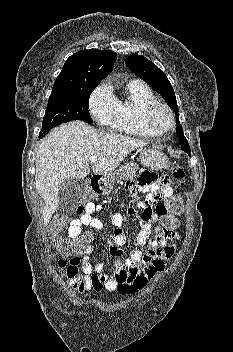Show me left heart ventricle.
<instances>
[{"label": "left heart ventricle", "mask_w": 233, "mask_h": 352, "mask_svg": "<svg viewBox=\"0 0 233 352\" xmlns=\"http://www.w3.org/2000/svg\"><path fill=\"white\" fill-rule=\"evenodd\" d=\"M156 123L159 127L165 126L168 123V117L163 111H159L156 115Z\"/></svg>", "instance_id": "obj_1"}]
</instances>
